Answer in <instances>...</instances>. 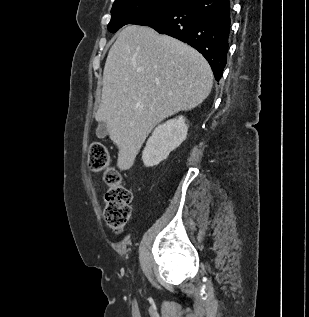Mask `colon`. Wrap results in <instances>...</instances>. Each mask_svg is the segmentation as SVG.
<instances>
[{"label": "colon", "mask_w": 309, "mask_h": 317, "mask_svg": "<svg viewBox=\"0 0 309 317\" xmlns=\"http://www.w3.org/2000/svg\"><path fill=\"white\" fill-rule=\"evenodd\" d=\"M87 164L94 172H104L107 185L104 219L112 230L120 231L130 218L132 194L124 186L120 172L110 166L109 152L103 143L95 141L90 144Z\"/></svg>", "instance_id": "colon-1"}]
</instances>
